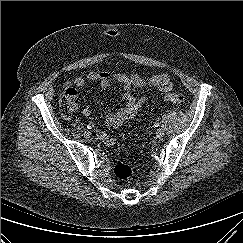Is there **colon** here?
I'll return each instance as SVG.
<instances>
[{"mask_svg":"<svg viewBox=\"0 0 243 243\" xmlns=\"http://www.w3.org/2000/svg\"><path fill=\"white\" fill-rule=\"evenodd\" d=\"M164 100L175 104L181 105L185 101V97L181 93L168 92L164 95ZM61 113L63 117L69 118L75 110L74 97L70 91H65L60 97ZM114 176L120 181H128L133 178V168L125 163H119L113 168Z\"/></svg>","mask_w":243,"mask_h":243,"instance_id":"1","label":"colon"}]
</instances>
